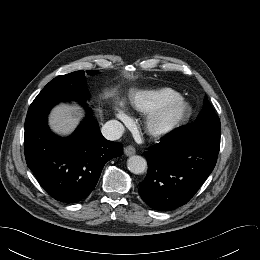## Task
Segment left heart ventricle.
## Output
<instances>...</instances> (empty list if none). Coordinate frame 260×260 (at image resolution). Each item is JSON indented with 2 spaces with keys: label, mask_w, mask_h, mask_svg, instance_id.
<instances>
[{
  "label": "left heart ventricle",
  "mask_w": 260,
  "mask_h": 260,
  "mask_svg": "<svg viewBox=\"0 0 260 260\" xmlns=\"http://www.w3.org/2000/svg\"><path fill=\"white\" fill-rule=\"evenodd\" d=\"M175 111H176L175 108H171V109L167 110V111L162 115L161 121H165V120L170 119V118L174 115Z\"/></svg>",
  "instance_id": "left-heart-ventricle-1"
}]
</instances>
